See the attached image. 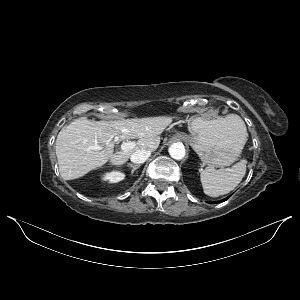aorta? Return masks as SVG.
Returning a JSON list of instances; mask_svg holds the SVG:
<instances>
[{
  "mask_svg": "<svg viewBox=\"0 0 300 300\" xmlns=\"http://www.w3.org/2000/svg\"><path fill=\"white\" fill-rule=\"evenodd\" d=\"M169 154L175 160H181L185 157L186 151L182 143H173L169 147Z\"/></svg>",
  "mask_w": 300,
  "mask_h": 300,
  "instance_id": "obj_1",
  "label": "aorta"
}]
</instances>
